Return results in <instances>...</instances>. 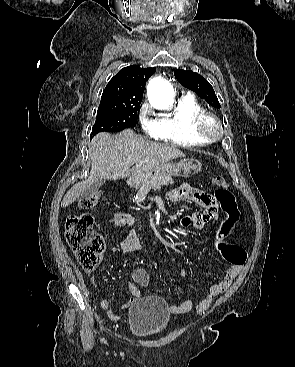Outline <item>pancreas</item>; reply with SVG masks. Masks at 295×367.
<instances>
[{
  "label": "pancreas",
  "instance_id": "obj_1",
  "mask_svg": "<svg viewBox=\"0 0 295 367\" xmlns=\"http://www.w3.org/2000/svg\"><path fill=\"white\" fill-rule=\"evenodd\" d=\"M173 183L174 181L171 176H162L139 188L137 193V201H143L150 190H160L162 186Z\"/></svg>",
  "mask_w": 295,
  "mask_h": 367
}]
</instances>
